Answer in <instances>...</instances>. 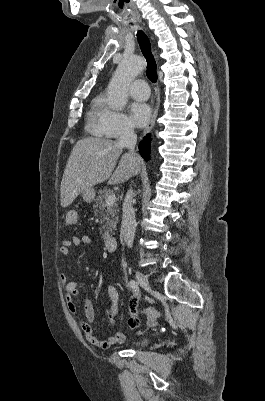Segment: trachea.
<instances>
[{
	"label": "trachea",
	"mask_w": 265,
	"mask_h": 401,
	"mask_svg": "<svg viewBox=\"0 0 265 401\" xmlns=\"http://www.w3.org/2000/svg\"><path fill=\"white\" fill-rule=\"evenodd\" d=\"M137 40L140 49L147 61V71H146L147 77L152 83H156L158 79V75L156 72V62L151 52V45L149 38L145 35L144 32H142V30H139L137 32Z\"/></svg>",
	"instance_id": "3493384b"
}]
</instances>
